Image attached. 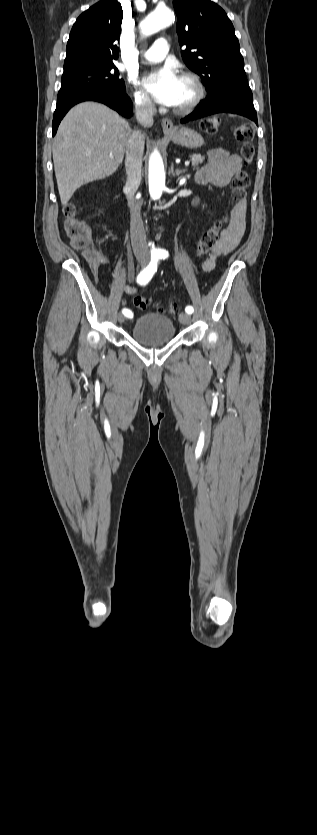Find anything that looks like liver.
<instances>
[{
	"instance_id": "liver-1",
	"label": "liver",
	"mask_w": 317,
	"mask_h": 835,
	"mask_svg": "<svg viewBox=\"0 0 317 835\" xmlns=\"http://www.w3.org/2000/svg\"><path fill=\"white\" fill-rule=\"evenodd\" d=\"M131 133L127 121L99 103L83 102L66 114L52 147L62 205L83 184L104 179L118 169Z\"/></svg>"
}]
</instances>
